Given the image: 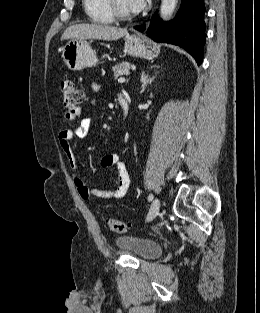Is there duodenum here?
<instances>
[{"instance_id":"obj_1","label":"duodenum","mask_w":260,"mask_h":313,"mask_svg":"<svg viewBox=\"0 0 260 313\" xmlns=\"http://www.w3.org/2000/svg\"><path fill=\"white\" fill-rule=\"evenodd\" d=\"M119 103H120V106L122 108L123 114L126 117L129 114L130 103H129L128 99L125 97H120Z\"/></svg>"}]
</instances>
